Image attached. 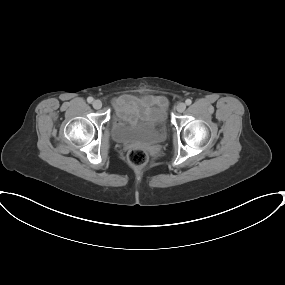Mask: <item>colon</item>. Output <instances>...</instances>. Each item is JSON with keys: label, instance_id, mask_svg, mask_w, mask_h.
<instances>
[{"label": "colon", "instance_id": "obj_1", "mask_svg": "<svg viewBox=\"0 0 285 285\" xmlns=\"http://www.w3.org/2000/svg\"><path fill=\"white\" fill-rule=\"evenodd\" d=\"M127 159L133 167H143L148 162V154L141 148L131 149L127 154Z\"/></svg>", "mask_w": 285, "mask_h": 285}]
</instances>
